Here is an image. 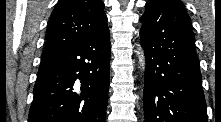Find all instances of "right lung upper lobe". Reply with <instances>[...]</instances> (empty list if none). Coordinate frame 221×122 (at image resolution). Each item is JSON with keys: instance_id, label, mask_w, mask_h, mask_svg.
<instances>
[{"instance_id": "cb5924a9", "label": "right lung upper lobe", "mask_w": 221, "mask_h": 122, "mask_svg": "<svg viewBox=\"0 0 221 122\" xmlns=\"http://www.w3.org/2000/svg\"><path fill=\"white\" fill-rule=\"evenodd\" d=\"M107 27L101 0H60L49 18L42 58L72 47Z\"/></svg>"}]
</instances>
